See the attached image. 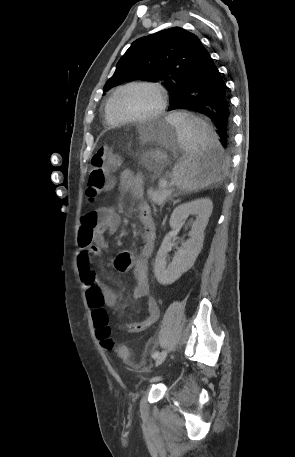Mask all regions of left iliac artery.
<instances>
[{
  "instance_id": "1",
  "label": "left iliac artery",
  "mask_w": 295,
  "mask_h": 457,
  "mask_svg": "<svg viewBox=\"0 0 295 457\" xmlns=\"http://www.w3.org/2000/svg\"><path fill=\"white\" fill-rule=\"evenodd\" d=\"M159 355V351H155L153 354H152V357L153 358H157Z\"/></svg>"
}]
</instances>
